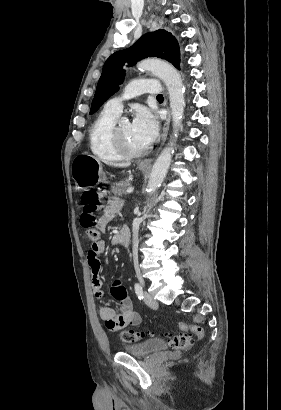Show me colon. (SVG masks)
I'll return each instance as SVG.
<instances>
[{"instance_id": "1", "label": "colon", "mask_w": 281, "mask_h": 410, "mask_svg": "<svg viewBox=\"0 0 281 410\" xmlns=\"http://www.w3.org/2000/svg\"><path fill=\"white\" fill-rule=\"evenodd\" d=\"M100 203V193L94 190H87L81 197L82 214L80 225L86 230L88 237L97 241L98 232V208ZM178 329L182 332L179 335H169L167 337L169 345L176 350L187 349L193 342L192 335L203 336V329L192 323L181 321L177 324ZM121 340L125 343L137 342L145 337L144 331L125 330L121 333Z\"/></svg>"}]
</instances>
